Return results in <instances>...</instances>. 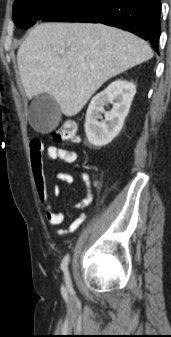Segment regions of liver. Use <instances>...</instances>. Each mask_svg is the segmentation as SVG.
<instances>
[{
    "instance_id": "1",
    "label": "liver",
    "mask_w": 171,
    "mask_h": 337,
    "mask_svg": "<svg viewBox=\"0 0 171 337\" xmlns=\"http://www.w3.org/2000/svg\"><path fill=\"white\" fill-rule=\"evenodd\" d=\"M153 57L136 35L92 23H41L17 52V64L29 99L46 93L65 116L78 114L111 77Z\"/></svg>"
}]
</instances>
